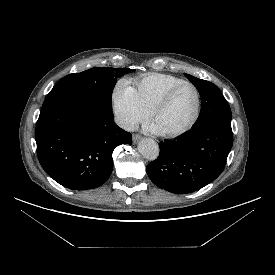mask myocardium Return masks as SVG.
Returning a JSON list of instances; mask_svg holds the SVG:
<instances>
[{
  "label": "myocardium",
  "instance_id": "1",
  "mask_svg": "<svg viewBox=\"0 0 275 275\" xmlns=\"http://www.w3.org/2000/svg\"><path fill=\"white\" fill-rule=\"evenodd\" d=\"M182 86H190L196 94V108L193 117L191 120L181 129L173 131V132H162L163 136L167 138H175L179 137L187 132H189L198 122L199 117L201 115L202 110V98L199 89L190 81H181L180 83L175 84L171 88H169L163 96L156 102V104L153 106L150 115L152 120L155 119L156 115L164 109L168 103L170 102L173 94Z\"/></svg>",
  "mask_w": 275,
  "mask_h": 275
}]
</instances>
